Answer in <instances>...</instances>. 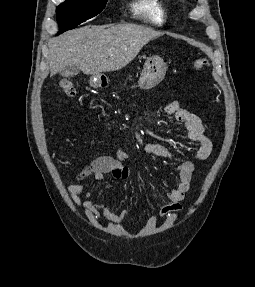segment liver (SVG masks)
I'll return each instance as SVG.
<instances>
[{"label": "liver", "instance_id": "1", "mask_svg": "<svg viewBox=\"0 0 255 287\" xmlns=\"http://www.w3.org/2000/svg\"><path fill=\"white\" fill-rule=\"evenodd\" d=\"M157 36H163L162 32L135 24L85 26L69 30L48 44L51 76L67 66H79L83 74L122 70L136 58L145 44Z\"/></svg>", "mask_w": 255, "mask_h": 287}]
</instances>
